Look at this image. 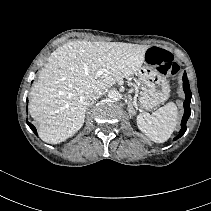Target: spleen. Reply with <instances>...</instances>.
Instances as JSON below:
<instances>
[{
  "mask_svg": "<svg viewBox=\"0 0 211 211\" xmlns=\"http://www.w3.org/2000/svg\"><path fill=\"white\" fill-rule=\"evenodd\" d=\"M177 121L178 111L173 102L167 103L151 115L142 113L137 118L139 129L155 143L167 141L174 132Z\"/></svg>",
  "mask_w": 211,
  "mask_h": 211,
  "instance_id": "spleen-1",
  "label": "spleen"
}]
</instances>
